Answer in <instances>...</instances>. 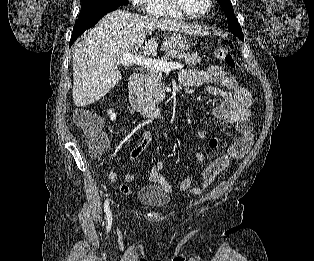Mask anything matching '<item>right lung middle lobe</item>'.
<instances>
[{"label":"right lung middle lobe","instance_id":"1","mask_svg":"<svg viewBox=\"0 0 314 261\" xmlns=\"http://www.w3.org/2000/svg\"><path fill=\"white\" fill-rule=\"evenodd\" d=\"M128 5V0H83L78 20H83L111 7Z\"/></svg>","mask_w":314,"mask_h":261}]
</instances>
